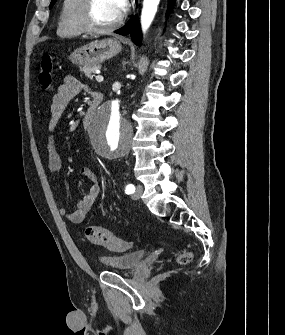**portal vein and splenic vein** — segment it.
<instances>
[{
	"label": "portal vein and splenic vein",
	"mask_w": 285,
	"mask_h": 335,
	"mask_svg": "<svg viewBox=\"0 0 285 335\" xmlns=\"http://www.w3.org/2000/svg\"><path fill=\"white\" fill-rule=\"evenodd\" d=\"M93 72H95V74H101L100 70H93ZM96 80L97 82H103L104 78L103 76H96Z\"/></svg>",
	"instance_id": "1"
}]
</instances>
